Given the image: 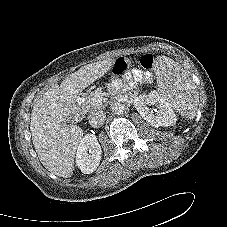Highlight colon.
Returning a JSON list of instances; mask_svg holds the SVG:
<instances>
[{
	"instance_id": "obj_1",
	"label": "colon",
	"mask_w": 227,
	"mask_h": 227,
	"mask_svg": "<svg viewBox=\"0 0 227 227\" xmlns=\"http://www.w3.org/2000/svg\"><path fill=\"white\" fill-rule=\"evenodd\" d=\"M140 65L146 71H152L155 65V59L152 55H144L140 59ZM131 66V62L126 58L118 59L113 68L115 75H120L126 72Z\"/></svg>"
}]
</instances>
